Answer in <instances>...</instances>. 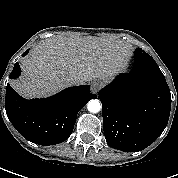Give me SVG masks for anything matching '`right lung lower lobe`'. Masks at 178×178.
Listing matches in <instances>:
<instances>
[{"label": "right lung lower lobe", "instance_id": "right-lung-lower-lobe-1", "mask_svg": "<svg viewBox=\"0 0 178 178\" xmlns=\"http://www.w3.org/2000/svg\"><path fill=\"white\" fill-rule=\"evenodd\" d=\"M20 74L17 62L9 77L15 79ZM93 98L96 95L90 93V86L82 85L67 88L50 98L27 100L7 84L5 109L12 125L25 139L47 146L69 138L77 113Z\"/></svg>", "mask_w": 178, "mask_h": 178}]
</instances>
